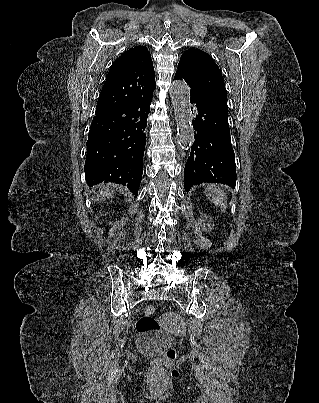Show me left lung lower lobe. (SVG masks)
Masks as SVG:
<instances>
[{
	"mask_svg": "<svg viewBox=\"0 0 319 403\" xmlns=\"http://www.w3.org/2000/svg\"><path fill=\"white\" fill-rule=\"evenodd\" d=\"M175 79H181L176 75ZM191 89V103L197 115L192 121L196 131L184 169V187L200 183H221L235 187V154L228 124L227 97L213 92Z\"/></svg>",
	"mask_w": 319,
	"mask_h": 403,
	"instance_id": "obj_1",
	"label": "left lung lower lobe"
}]
</instances>
